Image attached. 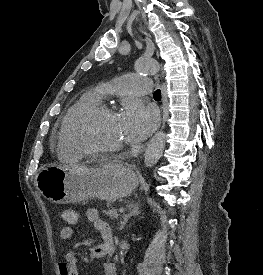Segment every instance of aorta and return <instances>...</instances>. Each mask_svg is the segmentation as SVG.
<instances>
[{
	"label": "aorta",
	"mask_w": 263,
	"mask_h": 275,
	"mask_svg": "<svg viewBox=\"0 0 263 275\" xmlns=\"http://www.w3.org/2000/svg\"><path fill=\"white\" fill-rule=\"evenodd\" d=\"M136 70L139 73L155 74L159 71V64L153 59H139L136 62ZM166 144V134L157 132L150 140L144 154V164L150 168L154 166L163 154Z\"/></svg>",
	"instance_id": "762f6f07"
}]
</instances>
